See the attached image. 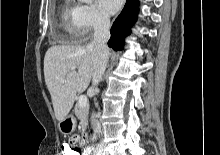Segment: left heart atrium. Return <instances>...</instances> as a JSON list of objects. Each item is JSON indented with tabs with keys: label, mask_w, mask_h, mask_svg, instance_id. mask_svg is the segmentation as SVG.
I'll use <instances>...</instances> for the list:
<instances>
[{
	"label": "left heart atrium",
	"mask_w": 220,
	"mask_h": 155,
	"mask_svg": "<svg viewBox=\"0 0 220 155\" xmlns=\"http://www.w3.org/2000/svg\"><path fill=\"white\" fill-rule=\"evenodd\" d=\"M98 3L105 12L114 14L121 8L123 0H98Z\"/></svg>",
	"instance_id": "left-heart-atrium-1"
}]
</instances>
